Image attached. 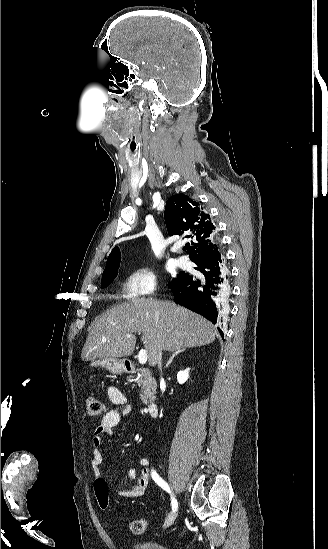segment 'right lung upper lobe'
I'll list each match as a JSON object with an SVG mask.
<instances>
[{
	"instance_id": "obj_1",
	"label": "right lung upper lobe",
	"mask_w": 328,
	"mask_h": 549,
	"mask_svg": "<svg viewBox=\"0 0 328 549\" xmlns=\"http://www.w3.org/2000/svg\"><path fill=\"white\" fill-rule=\"evenodd\" d=\"M164 218L170 236L184 235L190 240L187 245H191L189 253L192 262L221 255L217 229L198 202L183 194L171 196L166 202ZM119 262L120 251L115 247L107 259L104 272Z\"/></svg>"
}]
</instances>
